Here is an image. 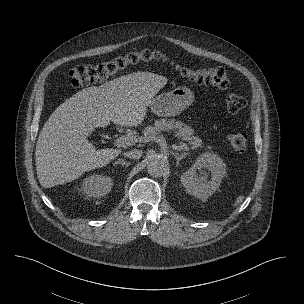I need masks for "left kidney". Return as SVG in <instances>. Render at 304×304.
Returning <instances> with one entry per match:
<instances>
[{"label":"left kidney","instance_id":"obj_1","mask_svg":"<svg viewBox=\"0 0 304 304\" xmlns=\"http://www.w3.org/2000/svg\"><path fill=\"white\" fill-rule=\"evenodd\" d=\"M208 173L211 176L210 180ZM225 174L226 165L222 158L214 153H204L181 175V183L189 194L206 200L218 190Z\"/></svg>","mask_w":304,"mask_h":304}]
</instances>
